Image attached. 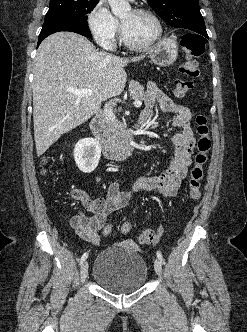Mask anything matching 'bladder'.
<instances>
[{"mask_svg": "<svg viewBox=\"0 0 247 332\" xmlns=\"http://www.w3.org/2000/svg\"><path fill=\"white\" fill-rule=\"evenodd\" d=\"M147 276L145 260L129 243L114 244L103 249L93 266L94 281L115 294H127L141 289Z\"/></svg>", "mask_w": 247, "mask_h": 332, "instance_id": "bladder-1", "label": "bladder"}]
</instances>
